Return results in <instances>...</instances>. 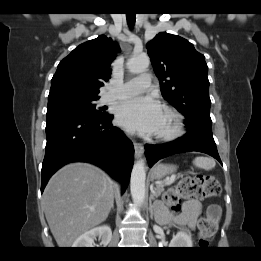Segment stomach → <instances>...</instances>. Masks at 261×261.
I'll return each instance as SVG.
<instances>
[{
	"label": "stomach",
	"instance_id": "1",
	"mask_svg": "<svg viewBox=\"0 0 261 261\" xmlns=\"http://www.w3.org/2000/svg\"><path fill=\"white\" fill-rule=\"evenodd\" d=\"M176 171V166L158 164L151 170L152 179L158 180Z\"/></svg>",
	"mask_w": 261,
	"mask_h": 261
}]
</instances>
